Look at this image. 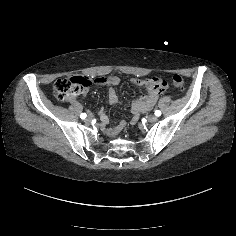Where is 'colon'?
I'll return each instance as SVG.
<instances>
[{
	"mask_svg": "<svg viewBox=\"0 0 236 236\" xmlns=\"http://www.w3.org/2000/svg\"><path fill=\"white\" fill-rule=\"evenodd\" d=\"M158 85H161L162 81L156 79ZM172 83L174 87L178 89H183L184 79L180 75H174L172 77ZM91 81L87 77L74 76L69 78L58 79L53 84V92L55 97L60 101H66L71 97L77 96L85 92Z\"/></svg>",
	"mask_w": 236,
	"mask_h": 236,
	"instance_id": "1",
	"label": "colon"
}]
</instances>
